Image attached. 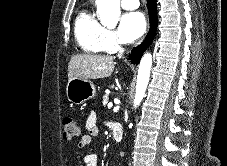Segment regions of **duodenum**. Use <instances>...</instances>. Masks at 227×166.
Returning a JSON list of instances; mask_svg holds the SVG:
<instances>
[{"label": "duodenum", "mask_w": 227, "mask_h": 166, "mask_svg": "<svg viewBox=\"0 0 227 166\" xmlns=\"http://www.w3.org/2000/svg\"><path fill=\"white\" fill-rule=\"evenodd\" d=\"M111 131H112L113 138L116 141L122 140L123 128H122V126L119 122L114 121V122L111 123Z\"/></svg>", "instance_id": "1"}]
</instances>
